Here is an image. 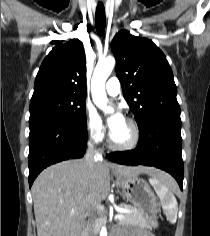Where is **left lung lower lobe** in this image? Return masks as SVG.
<instances>
[{
    "instance_id": "obj_1",
    "label": "left lung lower lobe",
    "mask_w": 210,
    "mask_h": 236,
    "mask_svg": "<svg viewBox=\"0 0 210 236\" xmlns=\"http://www.w3.org/2000/svg\"><path fill=\"white\" fill-rule=\"evenodd\" d=\"M139 132L136 149L114 152L107 158L119 164L147 165L165 170L177 180L182 190L184 166L180 116H153L139 126Z\"/></svg>"
}]
</instances>
